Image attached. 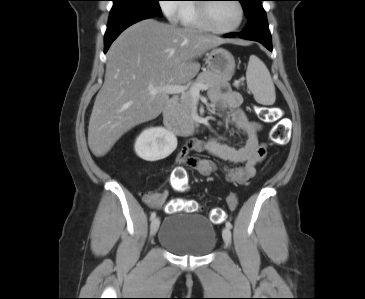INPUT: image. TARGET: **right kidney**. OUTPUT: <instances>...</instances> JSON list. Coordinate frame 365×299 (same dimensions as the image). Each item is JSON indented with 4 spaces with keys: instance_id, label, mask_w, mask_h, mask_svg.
<instances>
[{
    "instance_id": "obj_1",
    "label": "right kidney",
    "mask_w": 365,
    "mask_h": 299,
    "mask_svg": "<svg viewBox=\"0 0 365 299\" xmlns=\"http://www.w3.org/2000/svg\"><path fill=\"white\" fill-rule=\"evenodd\" d=\"M177 147V138L163 127L144 130L136 139L134 150L145 161H158L168 157Z\"/></svg>"
}]
</instances>
